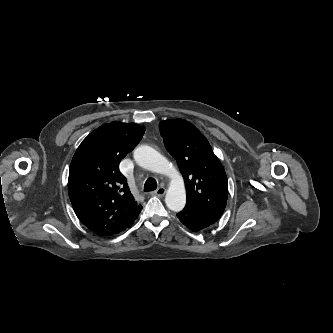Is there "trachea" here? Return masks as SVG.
Returning a JSON list of instances; mask_svg holds the SVG:
<instances>
[{
  "mask_svg": "<svg viewBox=\"0 0 333 333\" xmlns=\"http://www.w3.org/2000/svg\"><path fill=\"white\" fill-rule=\"evenodd\" d=\"M157 188V181L154 178H148L144 184V191H153Z\"/></svg>",
  "mask_w": 333,
  "mask_h": 333,
  "instance_id": "1",
  "label": "trachea"
}]
</instances>
